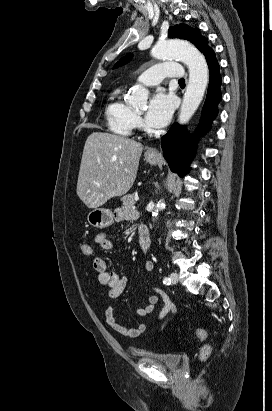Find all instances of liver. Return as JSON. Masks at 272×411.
<instances>
[{"instance_id": "liver-1", "label": "liver", "mask_w": 272, "mask_h": 411, "mask_svg": "<svg viewBox=\"0 0 272 411\" xmlns=\"http://www.w3.org/2000/svg\"><path fill=\"white\" fill-rule=\"evenodd\" d=\"M143 151L127 137L94 132L88 136L79 170L77 195L88 208H98L132 187Z\"/></svg>"}]
</instances>
